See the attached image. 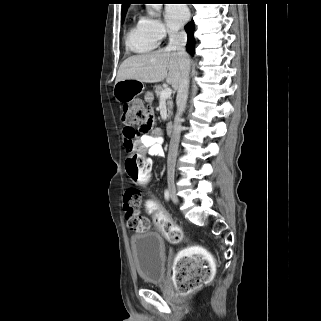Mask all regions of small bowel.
<instances>
[{
    "label": "small bowel",
    "instance_id": "small-bowel-1",
    "mask_svg": "<svg viewBox=\"0 0 321 321\" xmlns=\"http://www.w3.org/2000/svg\"><path fill=\"white\" fill-rule=\"evenodd\" d=\"M146 100L150 101L151 98L146 97ZM162 142V132L159 128H154L150 133L141 137L132 136L126 129L123 130V146L129 153H148L152 156H162Z\"/></svg>",
    "mask_w": 321,
    "mask_h": 321
}]
</instances>
